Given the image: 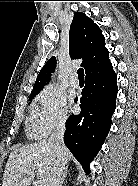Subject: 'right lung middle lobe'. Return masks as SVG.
I'll list each match as a JSON object with an SVG mask.
<instances>
[{"instance_id":"obj_1","label":"right lung middle lobe","mask_w":138,"mask_h":186,"mask_svg":"<svg viewBox=\"0 0 138 186\" xmlns=\"http://www.w3.org/2000/svg\"><path fill=\"white\" fill-rule=\"evenodd\" d=\"M34 96H36V94H34V95H30L29 100H31L32 98H34Z\"/></svg>"}]
</instances>
